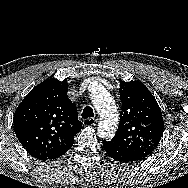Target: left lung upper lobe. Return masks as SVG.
Instances as JSON below:
<instances>
[{"instance_id": "5c2ea615", "label": "left lung upper lobe", "mask_w": 188, "mask_h": 188, "mask_svg": "<svg viewBox=\"0 0 188 188\" xmlns=\"http://www.w3.org/2000/svg\"><path fill=\"white\" fill-rule=\"evenodd\" d=\"M119 93L120 124L111 142L145 159L157 148L163 135L161 110L142 82L121 81Z\"/></svg>"}]
</instances>
